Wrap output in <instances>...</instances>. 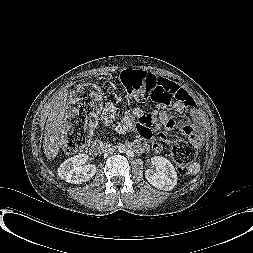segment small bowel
I'll return each mask as SVG.
<instances>
[{
    "instance_id": "1",
    "label": "small bowel",
    "mask_w": 253,
    "mask_h": 253,
    "mask_svg": "<svg viewBox=\"0 0 253 253\" xmlns=\"http://www.w3.org/2000/svg\"><path fill=\"white\" fill-rule=\"evenodd\" d=\"M179 91L172 97V109L178 114L190 113L191 119L197 121L200 119V113L193 109V97L183 88L177 85ZM117 112V106L115 103H109L106 105L103 113L102 120L104 124L109 125L113 122ZM134 116L137 118L136 128L145 139H150L153 142V148L156 151H162L166 145L167 140L161 134L152 132L151 128L154 126L157 128L159 125L163 126L167 130L177 129L182 133L189 136L193 135L194 130L190 123L179 124L175 118L166 110L160 111L157 116L147 115L141 108H135L133 110Z\"/></svg>"
}]
</instances>
